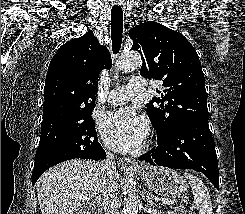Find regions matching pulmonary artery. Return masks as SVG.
<instances>
[{
    "mask_svg": "<svg viewBox=\"0 0 245 214\" xmlns=\"http://www.w3.org/2000/svg\"><path fill=\"white\" fill-rule=\"evenodd\" d=\"M147 82L141 77H133L128 85L112 90L107 100L109 103L117 105L129 101L133 96L139 95L146 90Z\"/></svg>",
    "mask_w": 245,
    "mask_h": 214,
    "instance_id": "obj_1",
    "label": "pulmonary artery"
}]
</instances>
